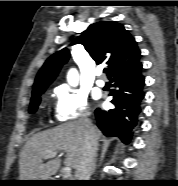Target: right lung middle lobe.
Segmentation results:
<instances>
[{
  "mask_svg": "<svg viewBox=\"0 0 178 186\" xmlns=\"http://www.w3.org/2000/svg\"><path fill=\"white\" fill-rule=\"evenodd\" d=\"M45 91V89L38 91L37 93H35L34 95H32V99H31V103H30V108H29V113H35L40 101H41V94H43Z\"/></svg>",
  "mask_w": 178,
  "mask_h": 186,
  "instance_id": "obj_1",
  "label": "right lung middle lobe"
}]
</instances>
